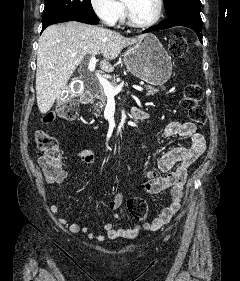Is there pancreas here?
<instances>
[{
  "label": "pancreas",
  "instance_id": "cf45deb5",
  "mask_svg": "<svg viewBox=\"0 0 240 281\" xmlns=\"http://www.w3.org/2000/svg\"><path fill=\"white\" fill-rule=\"evenodd\" d=\"M110 84L113 87L117 85L115 81H111ZM146 90H147L146 92L147 96L155 95L157 92H159V89L154 88L152 86H146ZM95 98L98 99L99 101L94 105V109H96L97 112H99V109H103L105 107L106 100H107V96L104 94V90L101 85H99L97 88Z\"/></svg>",
  "mask_w": 240,
  "mask_h": 281
}]
</instances>
